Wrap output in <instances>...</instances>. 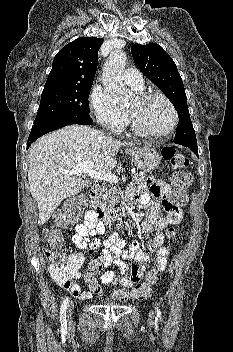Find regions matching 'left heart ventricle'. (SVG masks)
<instances>
[{
  "label": "left heart ventricle",
  "instance_id": "left-heart-ventricle-1",
  "mask_svg": "<svg viewBox=\"0 0 233 352\" xmlns=\"http://www.w3.org/2000/svg\"><path fill=\"white\" fill-rule=\"evenodd\" d=\"M127 111L143 130L150 133L166 131L172 121V113L168 105L159 98H153L145 103L135 99Z\"/></svg>",
  "mask_w": 233,
  "mask_h": 352
}]
</instances>
